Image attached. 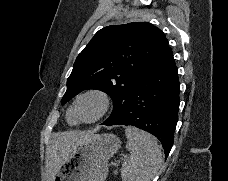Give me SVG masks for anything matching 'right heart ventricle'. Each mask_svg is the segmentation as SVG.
I'll list each match as a JSON object with an SVG mask.
<instances>
[{
  "label": "right heart ventricle",
  "mask_w": 228,
  "mask_h": 181,
  "mask_svg": "<svg viewBox=\"0 0 228 181\" xmlns=\"http://www.w3.org/2000/svg\"><path fill=\"white\" fill-rule=\"evenodd\" d=\"M69 120H70L71 122H73V121L75 120V115H74L73 110H70V112H69Z\"/></svg>",
  "instance_id": "right-heart-ventricle-1"
}]
</instances>
